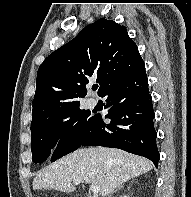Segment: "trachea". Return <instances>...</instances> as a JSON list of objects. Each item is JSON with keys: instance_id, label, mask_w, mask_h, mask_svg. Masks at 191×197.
<instances>
[{"instance_id": "obj_1", "label": "trachea", "mask_w": 191, "mask_h": 197, "mask_svg": "<svg viewBox=\"0 0 191 197\" xmlns=\"http://www.w3.org/2000/svg\"><path fill=\"white\" fill-rule=\"evenodd\" d=\"M97 88H98V85H94V86L92 87L93 90H97Z\"/></svg>"}]
</instances>
